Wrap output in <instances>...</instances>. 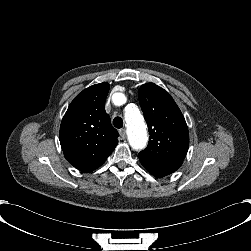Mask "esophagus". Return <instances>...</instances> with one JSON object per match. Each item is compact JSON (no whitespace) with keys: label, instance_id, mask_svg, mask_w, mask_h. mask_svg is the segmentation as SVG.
<instances>
[{"label":"esophagus","instance_id":"34e87169","mask_svg":"<svg viewBox=\"0 0 251 251\" xmlns=\"http://www.w3.org/2000/svg\"><path fill=\"white\" fill-rule=\"evenodd\" d=\"M119 133H120V136H121L122 139H126V130L125 129H121L119 131Z\"/></svg>","mask_w":251,"mask_h":251}]
</instances>
